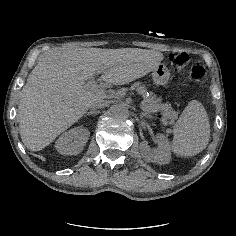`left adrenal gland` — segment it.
<instances>
[{"label": "left adrenal gland", "instance_id": "left-adrenal-gland-1", "mask_svg": "<svg viewBox=\"0 0 236 236\" xmlns=\"http://www.w3.org/2000/svg\"><path fill=\"white\" fill-rule=\"evenodd\" d=\"M140 116H141V117H147V118H148L150 115H149L148 113H146V112H141V113H140Z\"/></svg>", "mask_w": 236, "mask_h": 236}]
</instances>
